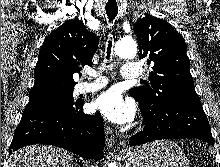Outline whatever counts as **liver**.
I'll return each mask as SVG.
<instances>
[{"mask_svg": "<svg viewBox=\"0 0 220 167\" xmlns=\"http://www.w3.org/2000/svg\"><path fill=\"white\" fill-rule=\"evenodd\" d=\"M9 167H73V156L53 146H26L12 153Z\"/></svg>", "mask_w": 220, "mask_h": 167, "instance_id": "6515ba94", "label": "liver"}]
</instances>
